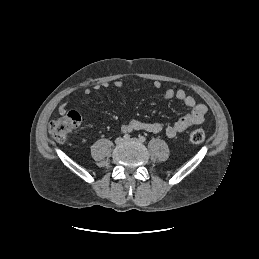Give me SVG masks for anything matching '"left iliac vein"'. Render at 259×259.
Returning <instances> with one entry per match:
<instances>
[{
    "mask_svg": "<svg viewBox=\"0 0 259 259\" xmlns=\"http://www.w3.org/2000/svg\"><path fill=\"white\" fill-rule=\"evenodd\" d=\"M127 141H129V142H139V140L137 138H130Z\"/></svg>",
    "mask_w": 259,
    "mask_h": 259,
    "instance_id": "left-iliac-vein-1",
    "label": "left iliac vein"
}]
</instances>
